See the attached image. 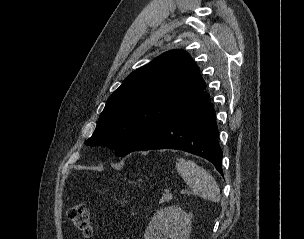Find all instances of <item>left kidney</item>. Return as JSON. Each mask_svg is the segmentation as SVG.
<instances>
[{"label":"left kidney","mask_w":304,"mask_h":239,"mask_svg":"<svg viewBox=\"0 0 304 239\" xmlns=\"http://www.w3.org/2000/svg\"><path fill=\"white\" fill-rule=\"evenodd\" d=\"M191 218L178 206L160 209L149 222L144 239H188Z\"/></svg>","instance_id":"left-kidney-1"}]
</instances>
